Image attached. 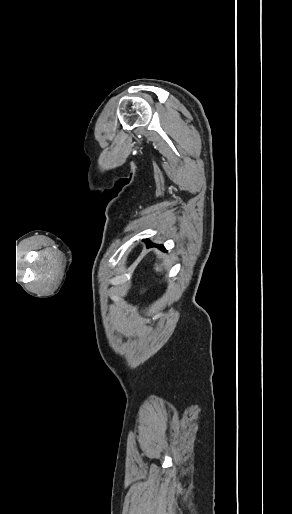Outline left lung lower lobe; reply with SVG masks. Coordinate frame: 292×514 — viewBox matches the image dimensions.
I'll return each instance as SVG.
<instances>
[{"instance_id":"obj_1","label":"left lung lower lobe","mask_w":292,"mask_h":514,"mask_svg":"<svg viewBox=\"0 0 292 514\" xmlns=\"http://www.w3.org/2000/svg\"><path fill=\"white\" fill-rule=\"evenodd\" d=\"M146 241H148V240L146 239ZM148 245H149V246H151V247H152V246H156V247H159L160 249L165 250V249H164V247H163L162 245H156V244H153V243H151V242H149V241H148Z\"/></svg>"}]
</instances>
